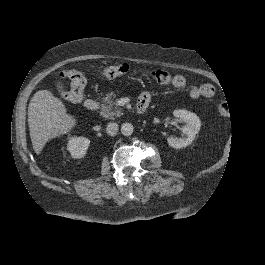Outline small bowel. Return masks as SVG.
<instances>
[{
    "instance_id": "small-bowel-1",
    "label": "small bowel",
    "mask_w": 265,
    "mask_h": 265,
    "mask_svg": "<svg viewBox=\"0 0 265 265\" xmlns=\"http://www.w3.org/2000/svg\"><path fill=\"white\" fill-rule=\"evenodd\" d=\"M174 87L183 89L186 87L187 81L186 78L182 75L174 76L172 80ZM189 96L193 99H198L200 97H212L215 93V88L212 84H202L200 86H193L188 91ZM152 94L148 91L143 92L139 97V102L146 104L147 106L151 102Z\"/></svg>"
}]
</instances>
